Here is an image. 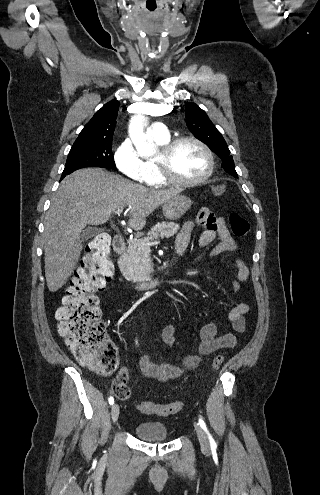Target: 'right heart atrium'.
<instances>
[{
  "label": "right heart atrium",
  "mask_w": 320,
  "mask_h": 495,
  "mask_svg": "<svg viewBox=\"0 0 320 495\" xmlns=\"http://www.w3.org/2000/svg\"><path fill=\"white\" fill-rule=\"evenodd\" d=\"M114 160L119 171L126 177L140 183L149 181V172L145 163L139 157L129 139L123 140L117 147Z\"/></svg>",
  "instance_id": "right-heart-atrium-1"
}]
</instances>
